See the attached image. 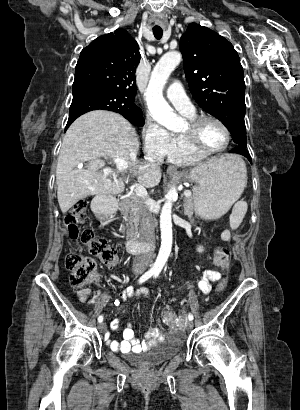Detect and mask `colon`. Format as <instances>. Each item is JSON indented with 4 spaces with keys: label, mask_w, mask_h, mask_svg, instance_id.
<instances>
[{
    "label": "colon",
    "mask_w": 300,
    "mask_h": 410,
    "mask_svg": "<svg viewBox=\"0 0 300 410\" xmlns=\"http://www.w3.org/2000/svg\"><path fill=\"white\" fill-rule=\"evenodd\" d=\"M87 201H78L64 216V225L68 230L72 242L80 241L89 251L91 256H84L72 252L66 256L65 265L69 272V281L74 286H84L89 283L96 274V257L103 265L113 267L117 264L116 250L109 241L98 236L90 228H84L83 222L86 218ZM223 238V237H222ZM214 262L222 268L229 265V251L224 247H217L214 251ZM226 288V280H221L217 285L218 291ZM164 321L175 326L178 322L176 315L166 311Z\"/></svg>",
    "instance_id": "1"
}]
</instances>
